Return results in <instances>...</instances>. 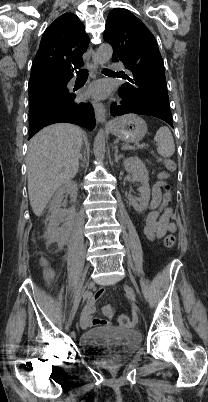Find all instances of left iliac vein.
Segmentation results:
<instances>
[{"label":"left iliac vein","mask_w":208,"mask_h":402,"mask_svg":"<svg viewBox=\"0 0 208 402\" xmlns=\"http://www.w3.org/2000/svg\"><path fill=\"white\" fill-rule=\"evenodd\" d=\"M124 288H125L127 296L130 298V300L135 301V294H134V291L132 290V288L126 284H125Z\"/></svg>","instance_id":"left-iliac-vein-1"}]
</instances>
